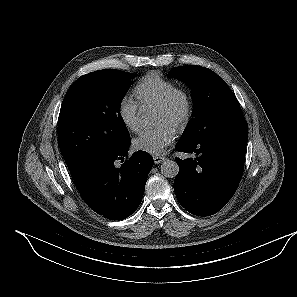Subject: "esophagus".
<instances>
[{
    "instance_id": "esophagus-1",
    "label": "esophagus",
    "mask_w": 297,
    "mask_h": 297,
    "mask_svg": "<svg viewBox=\"0 0 297 297\" xmlns=\"http://www.w3.org/2000/svg\"><path fill=\"white\" fill-rule=\"evenodd\" d=\"M166 158L164 156H154L153 160L155 164H160L163 162Z\"/></svg>"
}]
</instances>
